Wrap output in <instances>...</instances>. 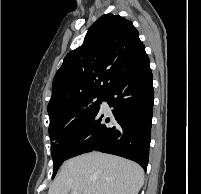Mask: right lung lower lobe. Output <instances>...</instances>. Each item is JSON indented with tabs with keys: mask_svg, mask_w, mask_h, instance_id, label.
<instances>
[{
	"mask_svg": "<svg viewBox=\"0 0 201 194\" xmlns=\"http://www.w3.org/2000/svg\"><path fill=\"white\" fill-rule=\"evenodd\" d=\"M153 98L147 56L103 95V101L112 107L111 120L100 108L61 143L57 155L65 161L82 153L100 151L133 160L146 171Z\"/></svg>",
	"mask_w": 201,
	"mask_h": 194,
	"instance_id": "98d812e1",
	"label": "right lung lower lobe"
}]
</instances>
